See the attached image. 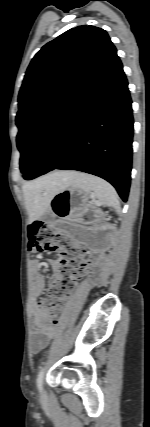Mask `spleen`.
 I'll return each instance as SVG.
<instances>
[{
    "instance_id": "3e777b00",
    "label": "spleen",
    "mask_w": 150,
    "mask_h": 427,
    "mask_svg": "<svg viewBox=\"0 0 150 427\" xmlns=\"http://www.w3.org/2000/svg\"><path fill=\"white\" fill-rule=\"evenodd\" d=\"M72 184L88 193L97 205L113 207L117 212L120 210L116 190L105 180L89 174L77 173Z\"/></svg>"
}]
</instances>
